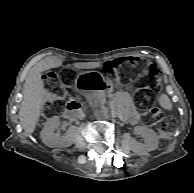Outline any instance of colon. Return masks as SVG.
<instances>
[{
    "label": "colon",
    "mask_w": 194,
    "mask_h": 193,
    "mask_svg": "<svg viewBox=\"0 0 194 193\" xmlns=\"http://www.w3.org/2000/svg\"><path fill=\"white\" fill-rule=\"evenodd\" d=\"M104 70L108 74H120L124 81L139 79L149 82L141 86L137 95L139 106L147 111L149 120L154 124L163 140L171 137L174 130V122L163 115L161 110L153 106L154 95L157 89L158 69L154 64L142 67L141 63L132 58H119L104 64ZM73 73L69 69L62 70L59 74L49 72L44 79L47 95L46 112L51 114L60 110L66 97V86L71 82Z\"/></svg>",
    "instance_id": "5ec220e1"
}]
</instances>
